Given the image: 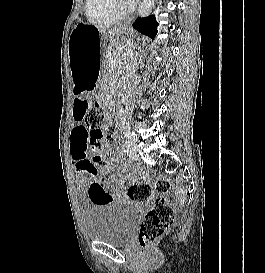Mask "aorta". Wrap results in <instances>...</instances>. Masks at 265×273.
<instances>
[{
	"instance_id": "aorta-1",
	"label": "aorta",
	"mask_w": 265,
	"mask_h": 273,
	"mask_svg": "<svg viewBox=\"0 0 265 273\" xmlns=\"http://www.w3.org/2000/svg\"><path fill=\"white\" fill-rule=\"evenodd\" d=\"M156 0H142L138 8L139 17H147L154 8Z\"/></svg>"
}]
</instances>
